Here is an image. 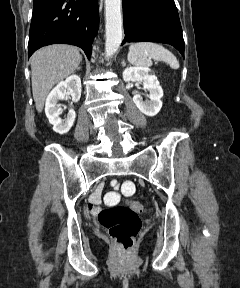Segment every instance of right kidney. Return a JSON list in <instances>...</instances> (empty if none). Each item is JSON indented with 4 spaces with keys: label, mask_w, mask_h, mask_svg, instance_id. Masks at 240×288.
I'll list each match as a JSON object with an SVG mask.
<instances>
[{
    "label": "right kidney",
    "mask_w": 240,
    "mask_h": 288,
    "mask_svg": "<svg viewBox=\"0 0 240 288\" xmlns=\"http://www.w3.org/2000/svg\"><path fill=\"white\" fill-rule=\"evenodd\" d=\"M65 95H71L72 100L77 102L81 97V79L78 75H71L65 81H61L50 92L46 99L45 113L53 130L59 134L67 133L72 127L76 114L70 109L65 119L60 118L62 109L57 104L64 99Z\"/></svg>",
    "instance_id": "1"
}]
</instances>
